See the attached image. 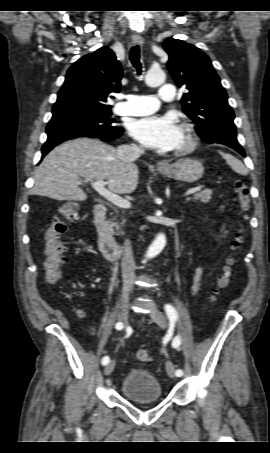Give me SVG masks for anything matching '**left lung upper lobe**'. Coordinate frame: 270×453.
Returning <instances> with one entry per match:
<instances>
[{"instance_id": "1", "label": "left lung upper lobe", "mask_w": 270, "mask_h": 453, "mask_svg": "<svg viewBox=\"0 0 270 453\" xmlns=\"http://www.w3.org/2000/svg\"><path fill=\"white\" fill-rule=\"evenodd\" d=\"M163 47L173 79L188 90L181 102L183 111L196 123L197 134L208 143L238 144L234 112L209 57L178 39H166Z\"/></svg>"}]
</instances>
